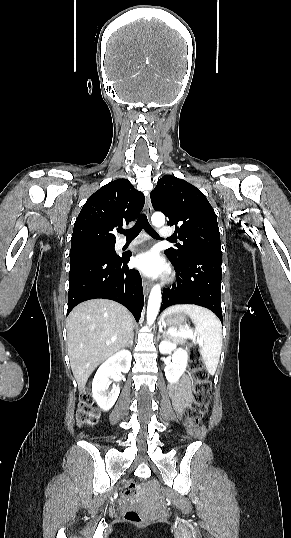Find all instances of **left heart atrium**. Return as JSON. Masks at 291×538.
I'll return each instance as SVG.
<instances>
[{"label": "left heart atrium", "mask_w": 291, "mask_h": 538, "mask_svg": "<svg viewBox=\"0 0 291 538\" xmlns=\"http://www.w3.org/2000/svg\"><path fill=\"white\" fill-rule=\"evenodd\" d=\"M135 265L147 276H157L166 272V266L155 251H148L137 256Z\"/></svg>", "instance_id": "39dd6f15"}]
</instances>
